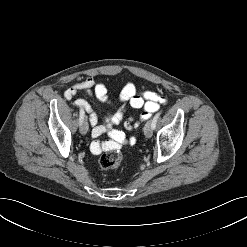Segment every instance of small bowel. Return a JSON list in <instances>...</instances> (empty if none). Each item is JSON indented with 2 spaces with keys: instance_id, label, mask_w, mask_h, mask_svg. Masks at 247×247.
<instances>
[{
  "instance_id": "obj_1",
  "label": "small bowel",
  "mask_w": 247,
  "mask_h": 247,
  "mask_svg": "<svg viewBox=\"0 0 247 247\" xmlns=\"http://www.w3.org/2000/svg\"><path fill=\"white\" fill-rule=\"evenodd\" d=\"M79 92H84L90 96H94L99 102L112 106L113 102L110 99L108 88L104 82H97L95 78L88 77L85 80L74 83L68 87L64 96L67 100L73 99ZM166 102V98L154 91H144L138 93L136 86L132 82H128L121 90L118 101L116 102V109L114 111H108L102 119V123H99V117L93 110L91 105L84 99H76L74 101L75 106L85 110L89 114V123L93 127L92 136L98 138L107 133L112 138V141L116 140V134H122V132L114 129V126L120 124L129 107L134 109H142L141 118L147 120L151 115L156 112L160 105ZM137 123L131 119L125 122V127L129 130L135 128ZM123 140V138H122ZM112 141H95L92 144V150L95 153H99L102 150L109 148V143Z\"/></svg>"
}]
</instances>
